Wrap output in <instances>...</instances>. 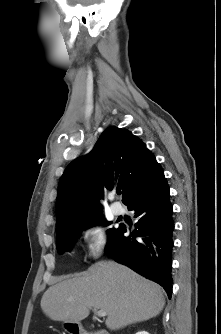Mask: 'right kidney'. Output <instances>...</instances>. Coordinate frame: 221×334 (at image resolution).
I'll use <instances>...</instances> for the list:
<instances>
[{
	"label": "right kidney",
	"instance_id": "1",
	"mask_svg": "<svg viewBox=\"0 0 221 334\" xmlns=\"http://www.w3.org/2000/svg\"><path fill=\"white\" fill-rule=\"evenodd\" d=\"M136 334H149V333L146 331H140V332H137Z\"/></svg>",
	"mask_w": 221,
	"mask_h": 334
}]
</instances>
